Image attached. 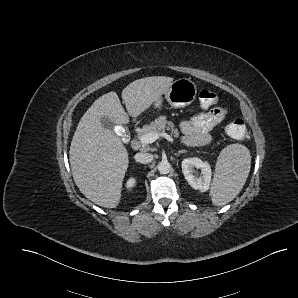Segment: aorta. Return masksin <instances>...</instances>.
<instances>
[{"instance_id":"1","label":"aorta","mask_w":298,"mask_h":298,"mask_svg":"<svg viewBox=\"0 0 298 298\" xmlns=\"http://www.w3.org/2000/svg\"><path fill=\"white\" fill-rule=\"evenodd\" d=\"M171 168V164L168 160H161L157 165V169L161 174H168Z\"/></svg>"}]
</instances>
